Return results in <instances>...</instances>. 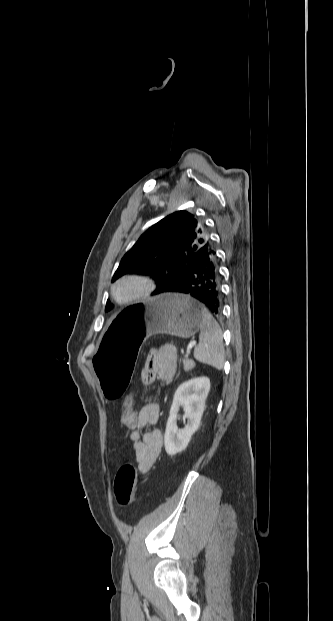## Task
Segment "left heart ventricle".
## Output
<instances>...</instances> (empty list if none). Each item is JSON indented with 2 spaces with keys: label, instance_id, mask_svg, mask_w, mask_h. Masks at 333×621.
I'll return each instance as SVG.
<instances>
[{
  "label": "left heart ventricle",
  "instance_id": "b2bd125f",
  "mask_svg": "<svg viewBox=\"0 0 333 621\" xmlns=\"http://www.w3.org/2000/svg\"><path fill=\"white\" fill-rule=\"evenodd\" d=\"M140 288L138 283L124 282L117 288V295L120 299H125L136 294Z\"/></svg>",
  "mask_w": 333,
  "mask_h": 621
}]
</instances>
